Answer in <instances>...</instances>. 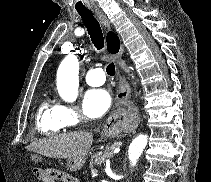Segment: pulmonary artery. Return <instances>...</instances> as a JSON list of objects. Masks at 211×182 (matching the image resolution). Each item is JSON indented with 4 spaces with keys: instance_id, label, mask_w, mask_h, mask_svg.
Wrapping results in <instances>:
<instances>
[{
    "instance_id": "1",
    "label": "pulmonary artery",
    "mask_w": 211,
    "mask_h": 182,
    "mask_svg": "<svg viewBox=\"0 0 211 182\" xmlns=\"http://www.w3.org/2000/svg\"><path fill=\"white\" fill-rule=\"evenodd\" d=\"M85 80L90 86H100L105 82V74L102 68L91 69L87 72Z\"/></svg>"
}]
</instances>
